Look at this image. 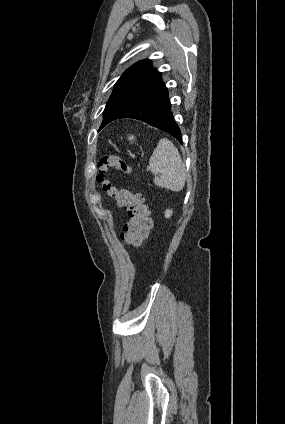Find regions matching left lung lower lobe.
I'll return each instance as SVG.
<instances>
[{
  "instance_id": "left-lung-lower-lobe-1",
  "label": "left lung lower lobe",
  "mask_w": 285,
  "mask_h": 424,
  "mask_svg": "<svg viewBox=\"0 0 285 424\" xmlns=\"http://www.w3.org/2000/svg\"><path fill=\"white\" fill-rule=\"evenodd\" d=\"M120 118H133L146 122L151 126L169 132L182 143L181 131L174 121L168 90L161 75L155 81L119 103L109 113L103 127Z\"/></svg>"
}]
</instances>
